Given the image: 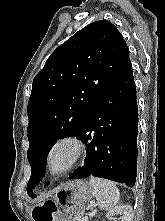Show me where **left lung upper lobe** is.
Returning <instances> with one entry per match:
<instances>
[{"instance_id":"5c2ea615","label":"left lung upper lobe","mask_w":165,"mask_h":221,"mask_svg":"<svg viewBox=\"0 0 165 221\" xmlns=\"http://www.w3.org/2000/svg\"><path fill=\"white\" fill-rule=\"evenodd\" d=\"M129 60V49L118 29L95 21L60 45L35 76L28 102L27 192L45 174L46 158L58 139L75 136L110 82Z\"/></svg>"}]
</instances>
